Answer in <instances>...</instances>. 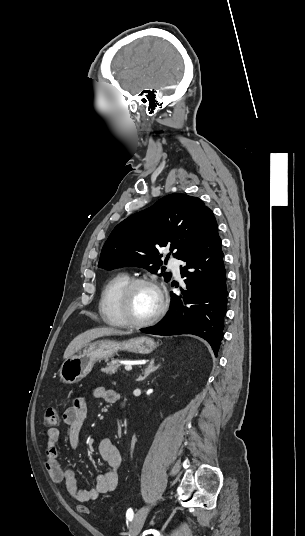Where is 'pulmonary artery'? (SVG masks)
Listing matches in <instances>:
<instances>
[{
	"label": "pulmonary artery",
	"instance_id": "e3ab8cb5",
	"mask_svg": "<svg viewBox=\"0 0 305 536\" xmlns=\"http://www.w3.org/2000/svg\"><path fill=\"white\" fill-rule=\"evenodd\" d=\"M169 266L173 270L175 276L177 278H179L180 277V261H178V260H170L169 261Z\"/></svg>",
	"mask_w": 305,
	"mask_h": 536
}]
</instances>
